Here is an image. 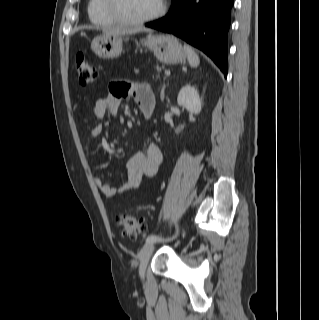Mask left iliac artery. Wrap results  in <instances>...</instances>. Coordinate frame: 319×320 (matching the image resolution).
<instances>
[{
	"label": "left iliac artery",
	"mask_w": 319,
	"mask_h": 320,
	"mask_svg": "<svg viewBox=\"0 0 319 320\" xmlns=\"http://www.w3.org/2000/svg\"><path fill=\"white\" fill-rule=\"evenodd\" d=\"M178 236V228H177V230H176V233H175V235L171 238V239H174V238H176ZM171 239H168V240H166V241H169V240H171ZM157 241H164V239H162V238H160L159 236H157V235H150V236H148L147 237V239H146V243H148V242H157Z\"/></svg>",
	"instance_id": "left-iliac-artery-1"
}]
</instances>
